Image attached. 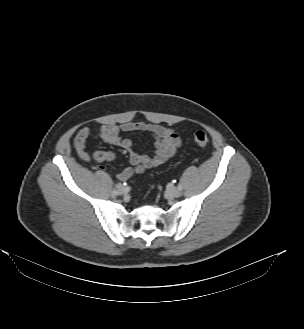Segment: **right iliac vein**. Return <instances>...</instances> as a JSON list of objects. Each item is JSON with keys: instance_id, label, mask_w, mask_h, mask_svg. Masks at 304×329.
<instances>
[{"instance_id": "obj_1", "label": "right iliac vein", "mask_w": 304, "mask_h": 329, "mask_svg": "<svg viewBox=\"0 0 304 329\" xmlns=\"http://www.w3.org/2000/svg\"><path fill=\"white\" fill-rule=\"evenodd\" d=\"M124 192H125V188H124V186L121 185V184H118V185H117V193H118V194H122V193H124Z\"/></svg>"}]
</instances>
